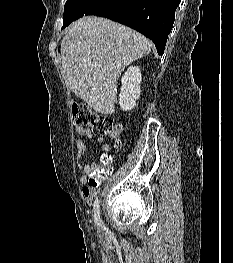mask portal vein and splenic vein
I'll use <instances>...</instances> for the list:
<instances>
[{
	"label": "portal vein and splenic vein",
	"mask_w": 233,
	"mask_h": 263,
	"mask_svg": "<svg viewBox=\"0 0 233 263\" xmlns=\"http://www.w3.org/2000/svg\"><path fill=\"white\" fill-rule=\"evenodd\" d=\"M89 66H92V64H91V63H89Z\"/></svg>",
	"instance_id": "1"
}]
</instances>
